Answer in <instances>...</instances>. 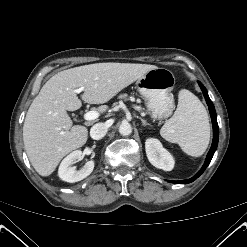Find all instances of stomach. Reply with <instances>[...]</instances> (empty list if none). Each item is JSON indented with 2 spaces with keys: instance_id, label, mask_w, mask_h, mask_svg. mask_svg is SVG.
Listing matches in <instances>:
<instances>
[{
  "instance_id": "1",
  "label": "stomach",
  "mask_w": 247,
  "mask_h": 247,
  "mask_svg": "<svg viewBox=\"0 0 247 247\" xmlns=\"http://www.w3.org/2000/svg\"><path fill=\"white\" fill-rule=\"evenodd\" d=\"M174 85L175 77L166 68L149 70L137 80V89L145 99L146 108L154 120H163L172 114L174 99L171 91Z\"/></svg>"
}]
</instances>
